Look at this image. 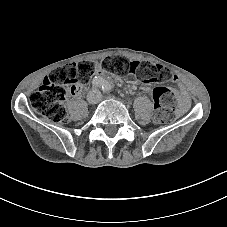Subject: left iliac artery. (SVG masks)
Returning <instances> with one entry per match:
<instances>
[{"label":"left iliac artery","instance_id":"1","mask_svg":"<svg viewBox=\"0 0 227 227\" xmlns=\"http://www.w3.org/2000/svg\"><path fill=\"white\" fill-rule=\"evenodd\" d=\"M102 89L104 92L108 93L112 90V85L109 82H104Z\"/></svg>","mask_w":227,"mask_h":227}]
</instances>
